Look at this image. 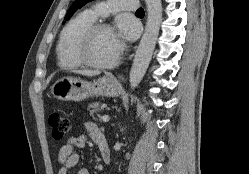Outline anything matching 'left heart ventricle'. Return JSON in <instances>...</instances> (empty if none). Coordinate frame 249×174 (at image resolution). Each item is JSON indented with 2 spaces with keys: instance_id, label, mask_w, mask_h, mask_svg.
<instances>
[{
  "instance_id": "obj_1",
  "label": "left heart ventricle",
  "mask_w": 249,
  "mask_h": 174,
  "mask_svg": "<svg viewBox=\"0 0 249 174\" xmlns=\"http://www.w3.org/2000/svg\"><path fill=\"white\" fill-rule=\"evenodd\" d=\"M119 47V38L114 31L96 33L90 43L89 57L99 63L111 61Z\"/></svg>"
}]
</instances>
